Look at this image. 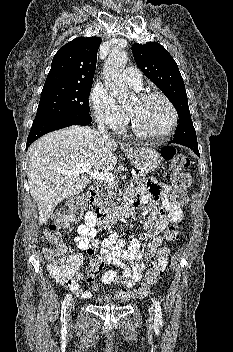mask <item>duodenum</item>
Listing matches in <instances>:
<instances>
[{"label":"duodenum","mask_w":233,"mask_h":352,"mask_svg":"<svg viewBox=\"0 0 233 352\" xmlns=\"http://www.w3.org/2000/svg\"><path fill=\"white\" fill-rule=\"evenodd\" d=\"M99 187L91 185L85 195V201L91 209V212L100 228H106L118 220H124L129 213V205L126 204L116 209H104L97 200Z\"/></svg>","instance_id":"1"}]
</instances>
